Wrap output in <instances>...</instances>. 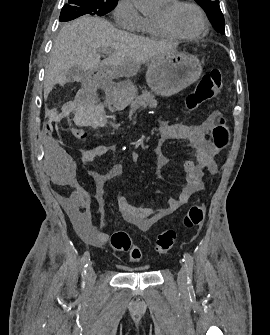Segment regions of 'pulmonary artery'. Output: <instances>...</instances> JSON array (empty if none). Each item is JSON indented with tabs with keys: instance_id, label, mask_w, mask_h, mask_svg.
<instances>
[{
	"instance_id": "e3ab8cb5",
	"label": "pulmonary artery",
	"mask_w": 270,
	"mask_h": 335,
	"mask_svg": "<svg viewBox=\"0 0 270 335\" xmlns=\"http://www.w3.org/2000/svg\"><path fill=\"white\" fill-rule=\"evenodd\" d=\"M160 1L163 2V3H170V2H174L176 0H160Z\"/></svg>"
}]
</instances>
